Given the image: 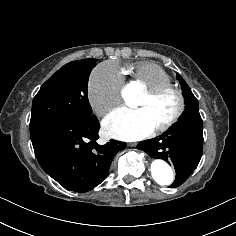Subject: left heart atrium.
<instances>
[{"label": "left heart atrium", "mask_w": 236, "mask_h": 236, "mask_svg": "<svg viewBox=\"0 0 236 236\" xmlns=\"http://www.w3.org/2000/svg\"><path fill=\"white\" fill-rule=\"evenodd\" d=\"M102 129L109 137L136 141L150 134L154 127L144 109L122 107L106 115Z\"/></svg>", "instance_id": "left-heart-atrium-1"}]
</instances>
